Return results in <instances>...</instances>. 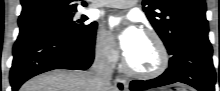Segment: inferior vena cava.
<instances>
[{"instance_id": "1", "label": "inferior vena cava", "mask_w": 220, "mask_h": 91, "mask_svg": "<svg viewBox=\"0 0 220 91\" xmlns=\"http://www.w3.org/2000/svg\"><path fill=\"white\" fill-rule=\"evenodd\" d=\"M110 53L109 47L100 50L88 72L94 91H106L111 86L113 66L109 61Z\"/></svg>"}]
</instances>
